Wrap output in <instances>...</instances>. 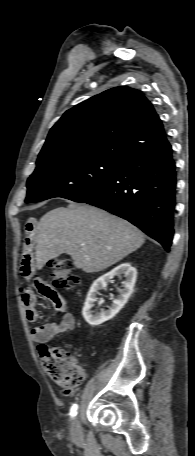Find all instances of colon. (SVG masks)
Masks as SVG:
<instances>
[{
    "mask_svg": "<svg viewBox=\"0 0 195 456\" xmlns=\"http://www.w3.org/2000/svg\"><path fill=\"white\" fill-rule=\"evenodd\" d=\"M49 267L52 271V282L56 288L70 289L80 283L71 259L66 257L52 259L49 261ZM39 353L44 369L61 387L73 388L84 380L83 368L70 357L66 347L40 345Z\"/></svg>",
    "mask_w": 195,
    "mask_h": 456,
    "instance_id": "5ec220e1",
    "label": "colon"
}]
</instances>
